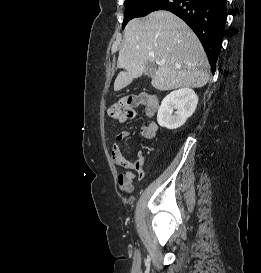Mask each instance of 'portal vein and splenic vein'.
<instances>
[{"label": "portal vein and splenic vein", "instance_id": "obj_1", "mask_svg": "<svg viewBox=\"0 0 261 273\" xmlns=\"http://www.w3.org/2000/svg\"><path fill=\"white\" fill-rule=\"evenodd\" d=\"M158 65L162 66L164 64L163 61L157 62Z\"/></svg>", "mask_w": 261, "mask_h": 273}]
</instances>
